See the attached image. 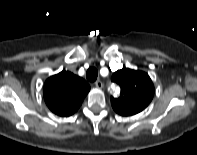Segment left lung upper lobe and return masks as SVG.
I'll use <instances>...</instances> for the list:
<instances>
[{"label": "left lung upper lobe", "instance_id": "5c2ea615", "mask_svg": "<svg viewBox=\"0 0 197 155\" xmlns=\"http://www.w3.org/2000/svg\"><path fill=\"white\" fill-rule=\"evenodd\" d=\"M111 80L121 88L119 98L111 97L113 109L122 116L135 115L144 110L154 95V85L147 73L123 68Z\"/></svg>", "mask_w": 197, "mask_h": 155}]
</instances>
